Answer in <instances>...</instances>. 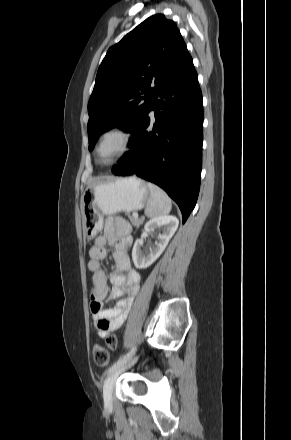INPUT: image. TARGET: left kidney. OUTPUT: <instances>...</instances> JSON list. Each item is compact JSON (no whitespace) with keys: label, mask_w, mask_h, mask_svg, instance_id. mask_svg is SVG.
Masks as SVG:
<instances>
[{"label":"left kidney","mask_w":291,"mask_h":440,"mask_svg":"<svg viewBox=\"0 0 291 440\" xmlns=\"http://www.w3.org/2000/svg\"><path fill=\"white\" fill-rule=\"evenodd\" d=\"M178 224L179 220L173 215L154 217L145 224L141 238L135 241L132 250V259L136 268L145 269L159 258L176 232ZM157 227H163V233L157 236L158 242L156 241L149 251L142 252L144 239Z\"/></svg>","instance_id":"left-kidney-1"}]
</instances>
